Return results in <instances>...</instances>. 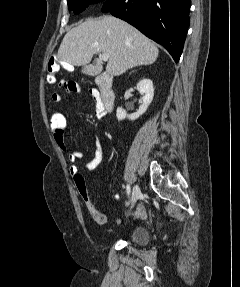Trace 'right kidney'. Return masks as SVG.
<instances>
[{"label": "right kidney", "mask_w": 240, "mask_h": 287, "mask_svg": "<svg viewBox=\"0 0 240 287\" xmlns=\"http://www.w3.org/2000/svg\"><path fill=\"white\" fill-rule=\"evenodd\" d=\"M137 90L143 96L142 105L136 112L132 113L131 115H127L122 108L118 107L116 111V117L118 121L124 120L126 117L129 120L134 121L143 115L148 109L154 96L153 82L150 79H143L137 84Z\"/></svg>", "instance_id": "obj_1"}]
</instances>
